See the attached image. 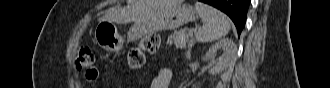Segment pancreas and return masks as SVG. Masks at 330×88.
I'll return each mask as SVG.
<instances>
[{
	"label": "pancreas",
	"instance_id": "1",
	"mask_svg": "<svg viewBox=\"0 0 330 88\" xmlns=\"http://www.w3.org/2000/svg\"><path fill=\"white\" fill-rule=\"evenodd\" d=\"M167 43L172 45L174 43L176 48L185 49L186 45L189 43V34L186 29H181L178 31H174L168 37Z\"/></svg>",
	"mask_w": 330,
	"mask_h": 88
}]
</instances>
